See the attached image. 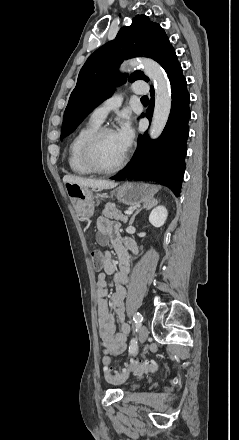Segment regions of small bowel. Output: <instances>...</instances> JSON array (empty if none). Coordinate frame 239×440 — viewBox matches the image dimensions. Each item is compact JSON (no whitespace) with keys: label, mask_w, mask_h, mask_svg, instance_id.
<instances>
[{"label":"small bowel","mask_w":239,"mask_h":440,"mask_svg":"<svg viewBox=\"0 0 239 440\" xmlns=\"http://www.w3.org/2000/svg\"><path fill=\"white\" fill-rule=\"evenodd\" d=\"M96 239L100 245L111 244L118 257L119 270H116L110 252H106L103 261L104 271L96 278L99 336L105 353L118 356L126 350L130 333L129 325L125 322L124 300L125 285L128 283L131 265L125 246L134 254H137L138 249L132 240H122L119 234V225L106 217H100L97 220ZM107 275L113 277L115 285V291L111 295L113 313L110 311L106 299ZM116 321L120 323L119 330L116 329Z\"/></svg>","instance_id":"c3829d8e"}]
</instances>
